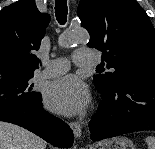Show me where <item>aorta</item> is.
<instances>
[{
    "label": "aorta",
    "mask_w": 155,
    "mask_h": 149,
    "mask_svg": "<svg viewBox=\"0 0 155 149\" xmlns=\"http://www.w3.org/2000/svg\"><path fill=\"white\" fill-rule=\"evenodd\" d=\"M89 40V34L83 30H74L66 35H62L59 38V44L62 47H71L73 44L87 43Z\"/></svg>",
    "instance_id": "1"
}]
</instances>
